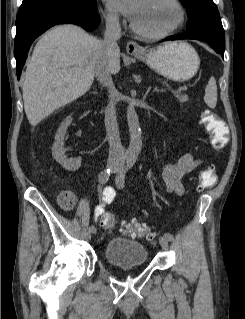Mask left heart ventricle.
I'll list each match as a JSON object with an SVG mask.
<instances>
[{
	"label": "left heart ventricle",
	"mask_w": 245,
	"mask_h": 319,
	"mask_svg": "<svg viewBox=\"0 0 245 319\" xmlns=\"http://www.w3.org/2000/svg\"><path fill=\"white\" fill-rule=\"evenodd\" d=\"M178 20V11L170 0H143L133 22L148 32H159L172 27Z\"/></svg>",
	"instance_id": "b2bd125f"
}]
</instances>
